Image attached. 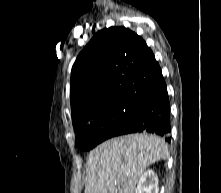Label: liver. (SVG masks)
I'll return each mask as SVG.
<instances>
[{"mask_svg": "<svg viewBox=\"0 0 221 193\" xmlns=\"http://www.w3.org/2000/svg\"><path fill=\"white\" fill-rule=\"evenodd\" d=\"M168 157L167 144L155 135L131 134L107 140L89 154L85 193H134L146 168Z\"/></svg>", "mask_w": 221, "mask_h": 193, "instance_id": "1", "label": "liver"}]
</instances>
